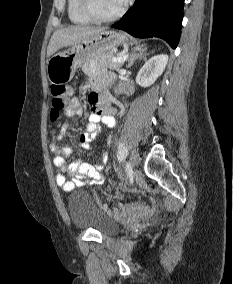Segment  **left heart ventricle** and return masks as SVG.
Instances as JSON below:
<instances>
[{"instance_id": "b2bd125f", "label": "left heart ventricle", "mask_w": 233, "mask_h": 284, "mask_svg": "<svg viewBox=\"0 0 233 284\" xmlns=\"http://www.w3.org/2000/svg\"><path fill=\"white\" fill-rule=\"evenodd\" d=\"M96 10L102 15H112L123 5L121 0H94Z\"/></svg>"}]
</instances>
